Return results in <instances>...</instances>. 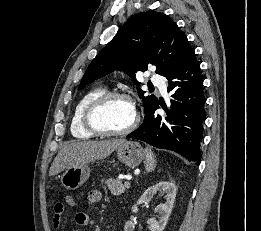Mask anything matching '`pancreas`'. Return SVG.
<instances>
[{
  "instance_id": "pancreas-1",
  "label": "pancreas",
  "mask_w": 261,
  "mask_h": 231,
  "mask_svg": "<svg viewBox=\"0 0 261 231\" xmlns=\"http://www.w3.org/2000/svg\"><path fill=\"white\" fill-rule=\"evenodd\" d=\"M108 189L111 191V194L115 196H119L123 194L127 189L130 188V185L122 184V182L118 179L109 178L105 181Z\"/></svg>"
}]
</instances>
